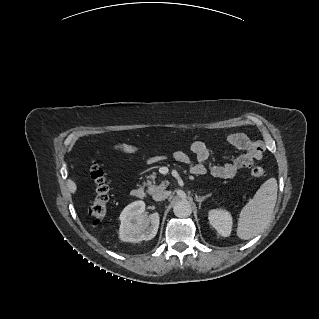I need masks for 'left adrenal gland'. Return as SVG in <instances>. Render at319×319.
Returning a JSON list of instances; mask_svg holds the SVG:
<instances>
[{
    "mask_svg": "<svg viewBox=\"0 0 319 319\" xmlns=\"http://www.w3.org/2000/svg\"><path fill=\"white\" fill-rule=\"evenodd\" d=\"M209 196H211V194L205 195V196H199L196 197V201L199 203V206H201L202 202L207 199Z\"/></svg>",
    "mask_w": 319,
    "mask_h": 319,
    "instance_id": "1",
    "label": "left adrenal gland"
}]
</instances>
